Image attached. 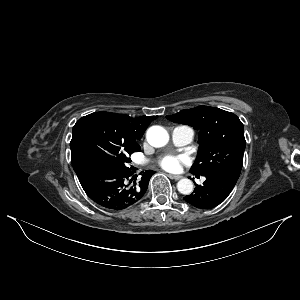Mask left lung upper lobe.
Masks as SVG:
<instances>
[{"label": "left lung upper lobe", "mask_w": 300, "mask_h": 300, "mask_svg": "<svg viewBox=\"0 0 300 300\" xmlns=\"http://www.w3.org/2000/svg\"><path fill=\"white\" fill-rule=\"evenodd\" d=\"M166 118L199 130V150L191 173L204 176L220 172L239 178L246 141L243 124L235 114L198 106Z\"/></svg>", "instance_id": "5c2ea615"}]
</instances>
